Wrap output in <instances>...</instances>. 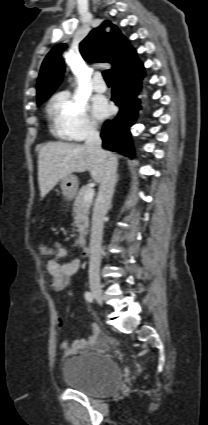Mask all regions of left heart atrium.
<instances>
[{
    "label": "left heart atrium",
    "instance_id": "39dd6f15",
    "mask_svg": "<svg viewBox=\"0 0 208 425\" xmlns=\"http://www.w3.org/2000/svg\"><path fill=\"white\" fill-rule=\"evenodd\" d=\"M93 113L97 118L101 119L110 115L111 109L104 99L98 98L93 103Z\"/></svg>",
    "mask_w": 208,
    "mask_h": 425
}]
</instances>
